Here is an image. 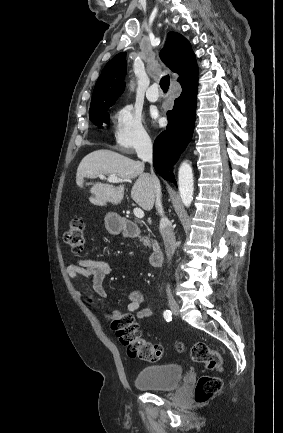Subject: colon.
Segmentation results:
<instances>
[{
    "label": "colon",
    "mask_w": 283,
    "mask_h": 433,
    "mask_svg": "<svg viewBox=\"0 0 283 433\" xmlns=\"http://www.w3.org/2000/svg\"><path fill=\"white\" fill-rule=\"evenodd\" d=\"M64 242L74 254H79L85 246V224L81 218L71 220L69 227L63 234ZM111 328L120 342L126 347L131 358L155 362L163 354V348L145 340L140 332L135 317L131 313L113 310L109 314ZM179 351L184 350L183 345L178 346ZM190 355L194 362L203 364L208 370L220 371L222 359L220 354L205 342H196L190 348ZM222 388V381L213 375H204L196 383L194 399L197 403H205Z\"/></svg>",
    "instance_id": "colon-1"
}]
</instances>
